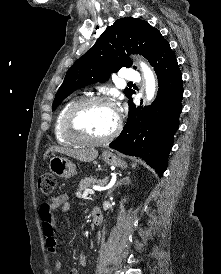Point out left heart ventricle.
<instances>
[{
  "label": "left heart ventricle",
  "mask_w": 221,
  "mask_h": 274,
  "mask_svg": "<svg viewBox=\"0 0 221 274\" xmlns=\"http://www.w3.org/2000/svg\"><path fill=\"white\" fill-rule=\"evenodd\" d=\"M115 122L116 111L104 104L92 105L83 110L78 117L80 130L93 138L106 136L113 129Z\"/></svg>",
  "instance_id": "left-heart-ventricle-1"
}]
</instances>
